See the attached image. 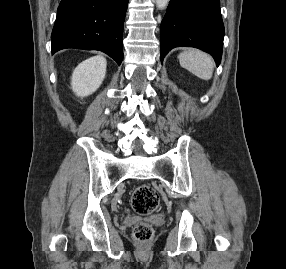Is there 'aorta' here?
Listing matches in <instances>:
<instances>
[{
  "instance_id": "aorta-1",
  "label": "aorta",
  "mask_w": 286,
  "mask_h": 269,
  "mask_svg": "<svg viewBox=\"0 0 286 269\" xmlns=\"http://www.w3.org/2000/svg\"><path fill=\"white\" fill-rule=\"evenodd\" d=\"M170 0H156L157 7L159 9H165L168 5Z\"/></svg>"
}]
</instances>
